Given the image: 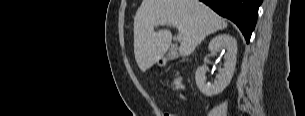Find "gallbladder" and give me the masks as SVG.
<instances>
[{
	"mask_svg": "<svg viewBox=\"0 0 305 116\" xmlns=\"http://www.w3.org/2000/svg\"><path fill=\"white\" fill-rule=\"evenodd\" d=\"M176 57V49H171L167 54V59H174Z\"/></svg>",
	"mask_w": 305,
	"mask_h": 116,
	"instance_id": "gallbladder-1",
	"label": "gallbladder"
}]
</instances>
